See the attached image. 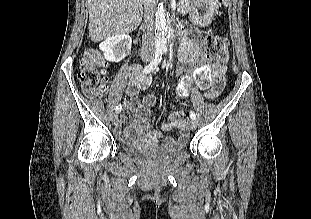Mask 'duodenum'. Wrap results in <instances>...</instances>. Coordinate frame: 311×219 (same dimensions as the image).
I'll use <instances>...</instances> for the list:
<instances>
[{
	"label": "duodenum",
	"instance_id": "duodenum-1",
	"mask_svg": "<svg viewBox=\"0 0 311 219\" xmlns=\"http://www.w3.org/2000/svg\"><path fill=\"white\" fill-rule=\"evenodd\" d=\"M170 28H171V30H173L175 28V26L173 24H171ZM181 29H183V28H181ZM173 39H174V33L171 32V40H173Z\"/></svg>",
	"mask_w": 311,
	"mask_h": 219
}]
</instances>
